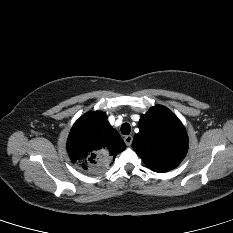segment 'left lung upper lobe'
I'll return each mask as SVG.
<instances>
[{"label": "left lung upper lobe", "instance_id": "obj_1", "mask_svg": "<svg viewBox=\"0 0 233 233\" xmlns=\"http://www.w3.org/2000/svg\"><path fill=\"white\" fill-rule=\"evenodd\" d=\"M132 147L152 171L162 173L180 164L188 137L180 120L166 107H152L139 121Z\"/></svg>", "mask_w": 233, "mask_h": 233}]
</instances>
